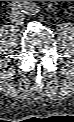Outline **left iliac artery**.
Returning <instances> with one entry per match:
<instances>
[{
    "instance_id": "44dca946",
    "label": "left iliac artery",
    "mask_w": 74,
    "mask_h": 122,
    "mask_svg": "<svg viewBox=\"0 0 74 122\" xmlns=\"http://www.w3.org/2000/svg\"><path fill=\"white\" fill-rule=\"evenodd\" d=\"M37 8L34 6V5H31L30 8H29V12L30 13H34V12H37Z\"/></svg>"
}]
</instances>
